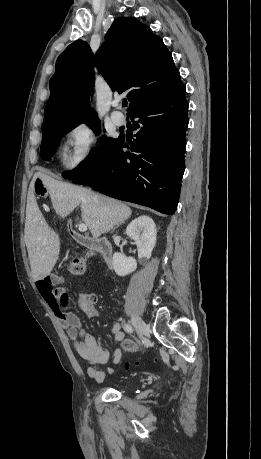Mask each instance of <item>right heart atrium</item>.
<instances>
[{"label":"right heart atrium","instance_id":"right-heart-atrium-1","mask_svg":"<svg viewBox=\"0 0 261 459\" xmlns=\"http://www.w3.org/2000/svg\"><path fill=\"white\" fill-rule=\"evenodd\" d=\"M68 149L63 164L68 170L82 167L93 154L97 135L94 127L87 122L74 124L67 132Z\"/></svg>","mask_w":261,"mask_h":459}]
</instances>
